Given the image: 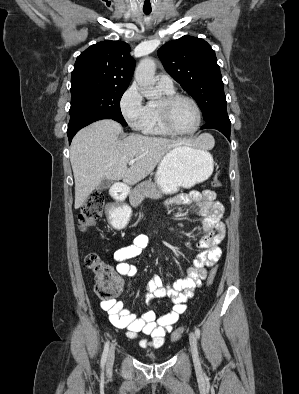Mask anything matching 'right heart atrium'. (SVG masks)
Here are the masks:
<instances>
[{
    "mask_svg": "<svg viewBox=\"0 0 299 394\" xmlns=\"http://www.w3.org/2000/svg\"><path fill=\"white\" fill-rule=\"evenodd\" d=\"M120 108L128 125L134 130H142L148 115V107L136 84H132L124 92Z\"/></svg>",
    "mask_w": 299,
    "mask_h": 394,
    "instance_id": "d8ad5b80",
    "label": "right heart atrium"
}]
</instances>
